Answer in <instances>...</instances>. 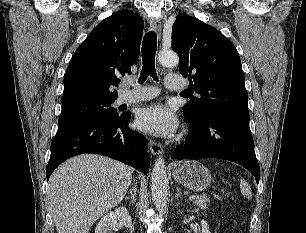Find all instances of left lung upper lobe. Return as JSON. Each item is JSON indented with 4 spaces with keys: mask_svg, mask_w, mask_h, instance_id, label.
<instances>
[{
    "mask_svg": "<svg viewBox=\"0 0 306 233\" xmlns=\"http://www.w3.org/2000/svg\"><path fill=\"white\" fill-rule=\"evenodd\" d=\"M172 49L180 58L179 72L189 78L191 91L200 95L190 97L184 106L189 123L218 112L249 115L239 54L220 31L179 14L172 28Z\"/></svg>",
    "mask_w": 306,
    "mask_h": 233,
    "instance_id": "obj_1",
    "label": "left lung upper lobe"
}]
</instances>
